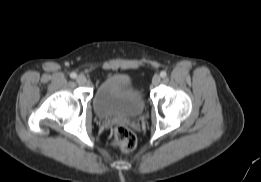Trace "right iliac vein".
Listing matches in <instances>:
<instances>
[{
	"label": "right iliac vein",
	"mask_w": 261,
	"mask_h": 182,
	"mask_svg": "<svg viewBox=\"0 0 261 182\" xmlns=\"http://www.w3.org/2000/svg\"><path fill=\"white\" fill-rule=\"evenodd\" d=\"M78 84L80 85H84L86 82H87V79L84 75H79L77 78H76Z\"/></svg>",
	"instance_id": "1"
}]
</instances>
